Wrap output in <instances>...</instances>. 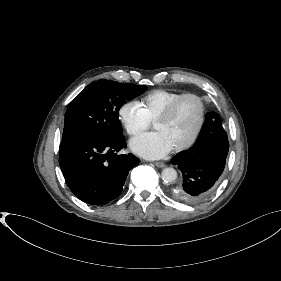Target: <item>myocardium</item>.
Here are the masks:
<instances>
[{
  "label": "myocardium",
  "mask_w": 281,
  "mask_h": 281,
  "mask_svg": "<svg viewBox=\"0 0 281 281\" xmlns=\"http://www.w3.org/2000/svg\"><path fill=\"white\" fill-rule=\"evenodd\" d=\"M186 99H195L200 107V113H199V120H198V124L193 132V134L191 135V137L185 141L184 143L176 146L173 148V151L175 152H181L184 151L188 148H190L198 139L204 122H205V114H206V108H205V103L204 100L202 99V97H200L199 95L193 94V93H186L181 95L180 97L176 98L175 100H173L172 102H170L154 119L153 123L157 122V121H162L167 119L172 112L175 110V108L184 100Z\"/></svg>",
  "instance_id": "obj_1"
}]
</instances>
